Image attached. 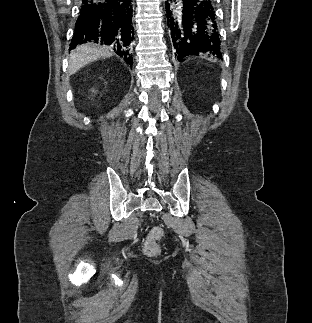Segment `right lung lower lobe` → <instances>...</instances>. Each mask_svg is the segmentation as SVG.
Listing matches in <instances>:
<instances>
[{"instance_id": "1", "label": "right lung lower lobe", "mask_w": 312, "mask_h": 323, "mask_svg": "<svg viewBox=\"0 0 312 323\" xmlns=\"http://www.w3.org/2000/svg\"><path fill=\"white\" fill-rule=\"evenodd\" d=\"M132 7L131 0H82L70 50L86 42L105 44L132 64Z\"/></svg>"}]
</instances>
